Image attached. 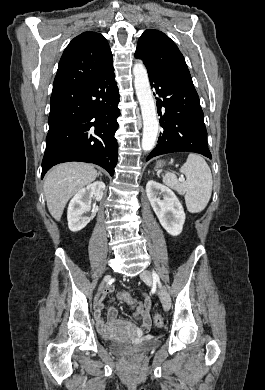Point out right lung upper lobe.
I'll return each mask as SVG.
<instances>
[{"label":"right lung upper lobe","instance_id":"1","mask_svg":"<svg viewBox=\"0 0 265 390\" xmlns=\"http://www.w3.org/2000/svg\"><path fill=\"white\" fill-rule=\"evenodd\" d=\"M107 40L96 32H83L64 50L59 62L52 92L72 87L113 67Z\"/></svg>","mask_w":265,"mask_h":390}]
</instances>
